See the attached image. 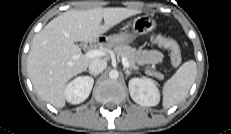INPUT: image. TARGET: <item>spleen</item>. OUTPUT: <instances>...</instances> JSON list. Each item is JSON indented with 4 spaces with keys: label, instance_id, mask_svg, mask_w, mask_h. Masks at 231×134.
I'll return each mask as SVG.
<instances>
[{
    "label": "spleen",
    "instance_id": "spleen-1",
    "mask_svg": "<svg viewBox=\"0 0 231 134\" xmlns=\"http://www.w3.org/2000/svg\"><path fill=\"white\" fill-rule=\"evenodd\" d=\"M196 75L197 64L194 60L183 63L163 85V107L170 108L180 103L187 96Z\"/></svg>",
    "mask_w": 231,
    "mask_h": 134
}]
</instances>
